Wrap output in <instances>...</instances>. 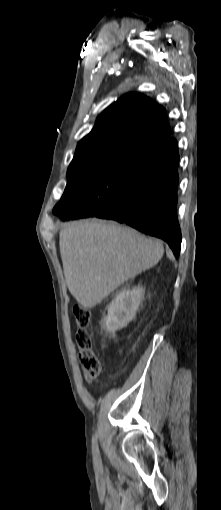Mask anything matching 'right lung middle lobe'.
Listing matches in <instances>:
<instances>
[{
	"mask_svg": "<svg viewBox=\"0 0 221 510\" xmlns=\"http://www.w3.org/2000/svg\"><path fill=\"white\" fill-rule=\"evenodd\" d=\"M151 151L127 147L72 160L67 186L53 213L70 215L79 205L86 211L105 210L126 192Z\"/></svg>",
	"mask_w": 221,
	"mask_h": 510,
	"instance_id": "dd1d6c3e",
	"label": "right lung middle lobe"
}]
</instances>
